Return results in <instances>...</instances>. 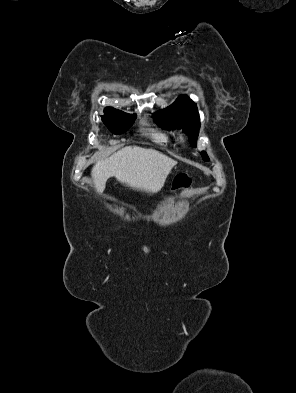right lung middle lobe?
I'll use <instances>...</instances> for the list:
<instances>
[{"instance_id":"dd1d6c3e","label":"right lung middle lobe","mask_w":296,"mask_h":393,"mask_svg":"<svg viewBox=\"0 0 296 393\" xmlns=\"http://www.w3.org/2000/svg\"><path fill=\"white\" fill-rule=\"evenodd\" d=\"M103 123L113 134H122L127 131L136 119V114H127L114 108L104 109Z\"/></svg>"}]
</instances>
